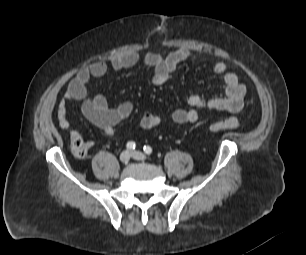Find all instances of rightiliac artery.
Returning <instances> with one entry per match:
<instances>
[{"label":"right iliac artery","mask_w":306,"mask_h":255,"mask_svg":"<svg viewBox=\"0 0 306 255\" xmlns=\"http://www.w3.org/2000/svg\"><path fill=\"white\" fill-rule=\"evenodd\" d=\"M126 147H127V149H129V150H134L135 147H136V144H135V142H133V141H129V142L126 144Z\"/></svg>","instance_id":"right-iliac-artery-1"}]
</instances>
